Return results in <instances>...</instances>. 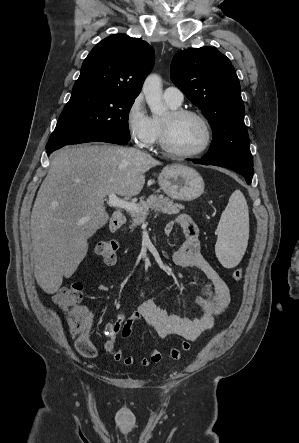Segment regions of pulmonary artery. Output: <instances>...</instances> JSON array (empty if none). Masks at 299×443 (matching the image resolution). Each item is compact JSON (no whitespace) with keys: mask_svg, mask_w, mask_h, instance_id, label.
I'll return each mask as SVG.
<instances>
[{"mask_svg":"<svg viewBox=\"0 0 299 443\" xmlns=\"http://www.w3.org/2000/svg\"><path fill=\"white\" fill-rule=\"evenodd\" d=\"M163 96L166 102L175 106L181 105L184 99L183 92L175 86L167 87L164 90Z\"/></svg>","mask_w":299,"mask_h":443,"instance_id":"1","label":"pulmonary artery"}]
</instances>
